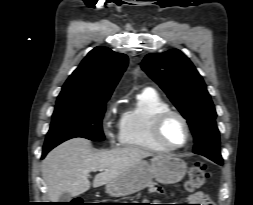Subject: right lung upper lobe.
<instances>
[{"mask_svg":"<svg viewBox=\"0 0 253 205\" xmlns=\"http://www.w3.org/2000/svg\"><path fill=\"white\" fill-rule=\"evenodd\" d=\"M128 64V57L107 47H96L71 74L57 102H98L109 99Z\"/></svg>","mask_w":253,"mask_h":205,"instance_id":"1","label":"right lung upper lobe"}]
</instances>
